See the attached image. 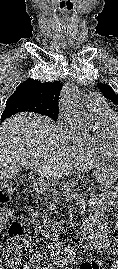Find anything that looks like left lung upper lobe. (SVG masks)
<instances>
[{"label":"left lung upper lobe","mask_w":118,"mask_h":269,"mask_svg":"<svg viewBox=\"0 0 118 269\" xmlns=\"http://www.w3.org/2000/svg\"><path fill=\"white\" fill-rule=\"evenodd\" d=\"M97 86L107 99L111 100L112 102L118 105V95L113 91V89L109 85L99 83L97 84Z\"/></svg>","instance_id":"left-lung-upper-lobe-1"}]
</instances>
